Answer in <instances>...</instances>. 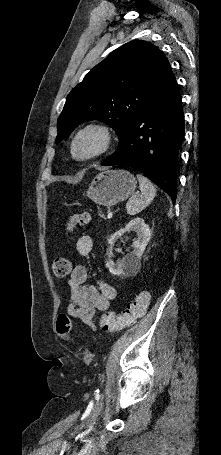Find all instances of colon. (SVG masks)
Instances as JSON below:
<instances>
[{"label": "colon", "instance_id": "obj_1", "mask_svg": "<svg viewBox=\"0 0 221 455\" xmlns=\"http://www.w3.org/2000/svg\"><path fill=\"white\" fill-rule=\"evenodd\" d=\"M90 220L89 215L82 213L70 218L66 225L67 232H72L78 225L86 224ZM53 273L58 277L68 276L72 270V262L66 257H56L52 262ZM150 303V294L147 291L139 292L133 300L128 302L125 309L120 313L106 312L101 316V327L105 332H117L132 326L137 319L144 316ZM57 333L66 340L72 339V321L61 314L57 319Z\"/></svg>", "mask_w": 221, "mask_h": 455}]
</instances>
